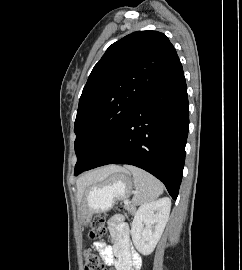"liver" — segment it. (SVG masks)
Here are the masks:
<instances>
[{
	"mask_svg": "<svg viewBox=\"0 0 242 270\" xmlns=\"http://www.w3.org/2000/svg\"><path fill=\"white\" fill-rule=\"evenodd\" d=\"M120 169H121V167H118V166H108V167H104V168L86 173L85 175L80 177L77 180L78 200L81 199L86 187H88L94 183L103 181L108 176H110L112 173H114L115 171H118Z\"/></svg>",
	"mask_w": 242,
	"mask_h": 270,
	"instance_id": "1",
	"label": "liver"
}]
</instances>
